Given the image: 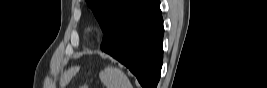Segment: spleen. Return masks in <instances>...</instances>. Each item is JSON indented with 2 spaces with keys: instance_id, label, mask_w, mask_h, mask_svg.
I'll return each mask as SVG.
<instances>
[{
  "instance_id": "obj_1",
  "label": "spleen",
  "mask_w": 267,
  "mask_h": 88,
  "mask_svg": "<svg viewBox=\"0 0 267 88\" xmlns=\"http://www.w3.org/2000/svg\"><path fill=\"white\" fill-rule=\"evenodd\" d=\"M100 79L106 88H133L127 75L117 67H106L100 73Z\"/></svg>"
}]
</instances>
